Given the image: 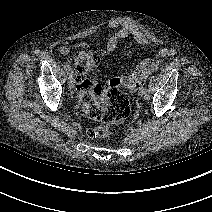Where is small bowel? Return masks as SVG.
Listing matches in <instances>:
<instances>
[{
	"label": "small bowel",
	"instance_id": "obj_1",
	"mask_svg": "<svg viewBox=\"0 0 212 212\" xmlns=\"http://www.w3.org/2000/svg\"><path fill=\"white\" fill-rule=\"evenodd\" d=\"M109 30H114L115 32L109 37L106 42L105 48L108 52L114 51L119 43V40L132 38L137 44L142 46H151V39L144 34L137 26L128 21L112 20L108 24ZM89 47V43L82 41L76 43L74 46L69 47L66 45H61L59 47V53L62 55H67L72 49H86ZM130 54H133L131 51ZM173 54V50L168 47H163L159 49L158 54L154 58H145L141 60L136 68V74L145 77L147 74L156 71L161 63L162 58L169 57ZM131 91H135L136 88H129ZM80 92L78 91V95Z\"/></svg>",
	"mask_w": 212,
	"mask_h": 212
}]
</instances>
